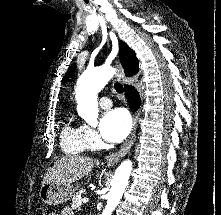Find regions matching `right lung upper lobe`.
<instances>
[{
    "label": "right lung upper lobe",
    "mask_w": 221,
    "mask_h": 215,
    "mask_svg": "<svg viewBox=\"0 0 221 215\" xmlns=\"http://www.w3.org/2000/svg\"><path fill=\"white\" fill-rule=\"evenodd\" d=\"M120 60L123 65L126 76L134 75L138 70V59L132 49L124 42L119 44Z\"/></svg>",
    "instance_id": "1"
}]
</instances>
